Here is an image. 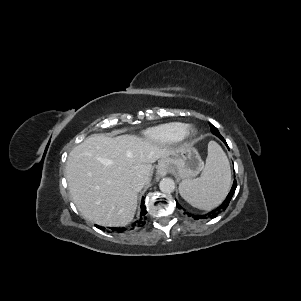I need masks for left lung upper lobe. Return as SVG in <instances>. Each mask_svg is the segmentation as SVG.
I'll return each instance as SVG.
<instances>
[{"mask_svg":"<svg viewBox=\"0 0 301 301\" xmlns=\"http://www.w3.org/2000/svg\"><path fill=\"white\" fill-rule=\"evenodd\" d=\"M210 128H211V131H215V130H218L215 126H213L211 123H210Z\"/></svg>","mask_w":301,"mask_h":301,"instance_id":"1","label":"left lung upper lobe"}]
</instances>
